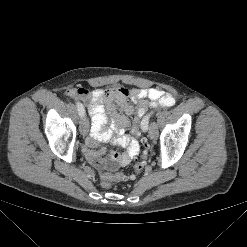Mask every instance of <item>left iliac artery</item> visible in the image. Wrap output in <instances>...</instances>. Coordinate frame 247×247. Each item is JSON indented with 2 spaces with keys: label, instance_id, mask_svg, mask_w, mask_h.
Returning <instances> with one entry per match:
<instances>
[{
  "label": "left iliac artery",
  "instance_id": "left-iliac-artery-1",
  "mask_svg": "<svg viewBox=\"0 0 247 247\" xmlns=\"http://www.w3.org/2000/svg\"><path fill=\"white\" fill-rule=\"evenodd\" d=\"M153 114V112H151L150 114L146 115L143 120H142V126L148 127V123H149V119L150 116Z\"/></svg>",
  "mask_w": 247,
  "mask_h": 247
}]
</instances>
